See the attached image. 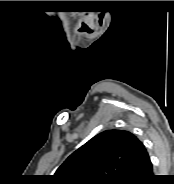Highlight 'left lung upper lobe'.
Returning a JSON list of instances; mask_svg holds the SVG:
<instances>
[{
    "label": "left lung upper lobe",
    "instance_id": "5c2ea615",
    "mask_svg": "<svg viewBox=\"0 0 174 184\" xmlns=\"http://www.w3.org/2000/svg\"><path fill=\"white\" fill-rule=\"evenodd\" d=\"M141 144L128 131H104L71 154L54 176L61 184H125Z\"/></svg>",
    "mask_w": 174,
    "mask_h": 184
}]
</instances>
